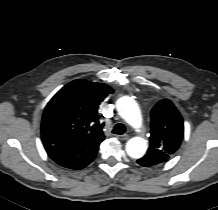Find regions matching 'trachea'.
Instances as JSON below:
<instances>
[{"mask_svg": "<svg viewBox=\"0 0 218 210\" xmlns=\"http://www.w3.org/2000/svg\"><path fill=\"white\" fill-rule=\"evenodd\" d=\"M125 131H126L125 125H123V124H121V123H118V124H116V125L114 126L112 132H113L114 134L122 135V134L125 133Z\"/></svg>", "mask_w": 218, "mask_h": 210, "instance_id": "1", "label": "trachea"}]
</instances>
